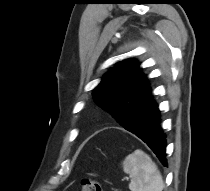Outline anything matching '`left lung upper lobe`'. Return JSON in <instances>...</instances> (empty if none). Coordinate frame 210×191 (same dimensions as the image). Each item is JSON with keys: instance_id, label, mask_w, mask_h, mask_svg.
Wrapping results in <instances>:
<instances>
[{"instance_id": "obj_1", "label": "left lung upper lobe", "mask_w": 210, "mask_h": 191, "mask_svg": "<svg viewBox=\"0 0 210 191\" xmlns=\"http://www.w3.org/2000/svg\"><path fill=\"white\" fill-rule=\"evenodd\" d=\"M139 66L140 63L131 60L118 62L93 93L95 102L110 112L128 131L136 126L135 121H127L130 109L151 94L148 79Z\"/></svg>"}]
</instances>
